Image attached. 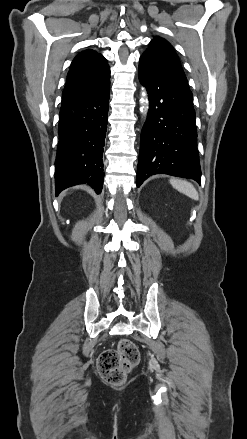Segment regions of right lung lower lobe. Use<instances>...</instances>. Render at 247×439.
Masks as SVG:
<instances>
[{
    "label": "right lung lower lobe",
    "instance_id": "obj_1",
    "mask_svg": "<svg viewBox=\"0 0 247 439\" xmlns=\"http://www.w3.org/2000/svg\"><path fill=\"white\" fill-rule=\"evenodd\" d=\"M109 94L110 82L96 91L62 100L55 161L56 195L82 183L101 192Z\"/></svg>",
    "mask_w": 247,
    "mask_h": 439
}]
</instances>
